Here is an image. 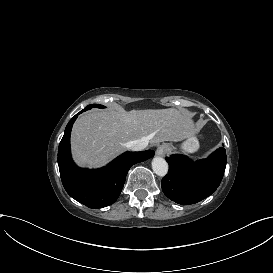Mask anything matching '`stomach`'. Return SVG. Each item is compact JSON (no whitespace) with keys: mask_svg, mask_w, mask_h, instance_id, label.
I'll list each match as a JSON object with an SVG mask.
<instances>
[{"mask_svg":"<svg viewBox=\"0 0 273 273\" xmlns=\"http://www.w3.org/2000/svg\"><path fill=\"white\" fill-rule=\"evenodd\" d=\"M163 145L165 144H162L160 146H163ZM168 145H169V148L167 153H171L174 149H176V147H174L173 145L171 144H168ZM178 148L183 154H194L198 152L200 149L199 139H193V140L186 139L181 144L178 145Z\"/></svg>","mask_w":273,"mask_h":273,"instance_id":"stomach-1","label":"stomach"}]
</instances>
